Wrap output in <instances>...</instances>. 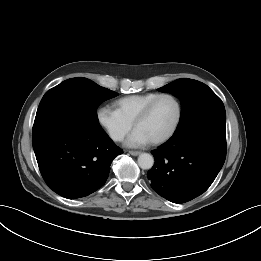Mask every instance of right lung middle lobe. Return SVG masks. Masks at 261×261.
<instances>
[{
    "instance_id": "right-lung-middle-lobe-1",
    "label": "right lung middle lobe",
    "mask_w": 261,
    "mask_h": 261,
    "mask_svg": "<svg viewBox=\"0 0 261 261\" xmlns=\"http://www.w3.org/2000/svg\"><path fill=\"white\" fill-rule=\"evenodd\" d=\"M118 94L95 82L71 78L50 89L43 96L34 121L33 131L54 123H73L101 128L97 107Z\"/></svg>"
}]
</instances>
